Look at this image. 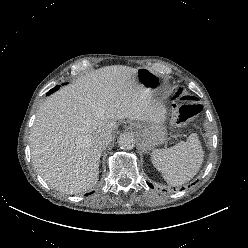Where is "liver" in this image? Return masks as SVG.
<instances>
[{
  "label": "liver",
  "instance_id": "6515ba94",
  "mask_svg": "<svg viewBox=\"0 0 248 248\" xmlns=\"http://www.w3.org/2000/svg\"><path fill=\"white\" fill-rule=\"evenodd\" d=\"M150 95L138 83L137 69L113 65L48 97L30 133L32 161L43 179L67 194L94 188L106 147L95 143L96 135L113 133L118 120L161 122L164 111L150 105Z\"/></svg>",
  "mask_w": 248,
  "mask_h": 248
}]
</instances>
